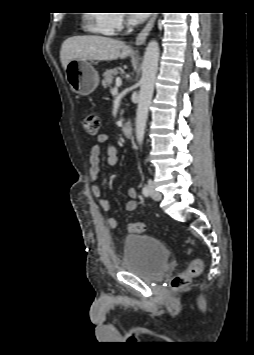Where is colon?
<instances>
[{"label": "colon", "instance_id": "obj_1", "mask_svg": "<svg viewBox=\"0 0 254 355\" xmlns=\"http://www.w3.org/2000/svg\"><path fill=\"white\" fill-rule=\"evenodd\" d=\"M83 127L85 131L90 135H95L99 131L100 121L96 114L88 113L83 117ZM130 233H143L146 230L144 223L136 222L130 223L127 226ZM203 269V263L200 259L192 260L187 268L181 273L175 275L171 281V287L175 290L182 289L189 285L192 278L198 276Z\"/></svg>", "mask_w": 254, "mask_h": 355}]
</instances>
